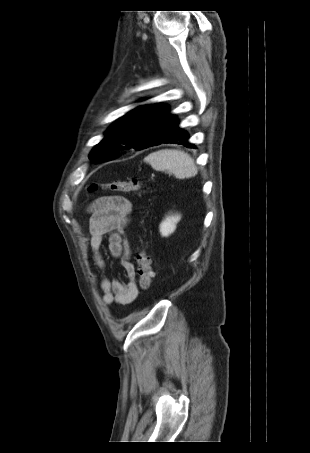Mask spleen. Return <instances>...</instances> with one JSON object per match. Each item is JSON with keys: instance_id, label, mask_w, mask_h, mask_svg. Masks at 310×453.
Returning a JSON list of instances; mask_svg holds the SVG:
<instances>
[{"instance_id": "obj_1", "label": "spleen", "mask_w": 310, "mask_h": 453, "mask_svg": "<svg viewBox=\"0 0 310 453\" xmlns=\"http://www.w3.org/2000/svg\"><path fill=\"white\" fill-rule=\"evenodd\" d=\"M144 161L154 170L173 174L178 179L191 178L198 171L193 158L181 150H159L149 154Z\"/></svg>"}]
</instances>
